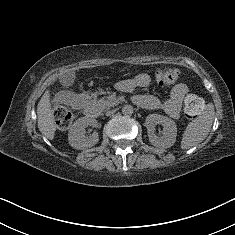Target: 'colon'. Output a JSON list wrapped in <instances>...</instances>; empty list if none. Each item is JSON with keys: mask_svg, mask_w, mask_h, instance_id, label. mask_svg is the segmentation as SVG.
I'll return each instance as SVG.
<instances>
[{"mask_svg": "<svg viewBox=\"0 0 235 235\" xmlns=\"http://www.w3.org/2000/svg\"><path fill=\"white\" fill-rule=\"evenodd\" d=\"M177 79V71L171 68H160L156 72V81L161 87H169ZM204 103L201 98L196 95L190 94L185 98L184 114L193 120L199 116L203 110ZM53 117L57 127L65 131L71 125L73 116L69 109L61 105H54Z\"/></svg>", "mask_w": 235, "mask_h": 235, "instance_id": "obj_1", "label": "colon"}]
</instances>
